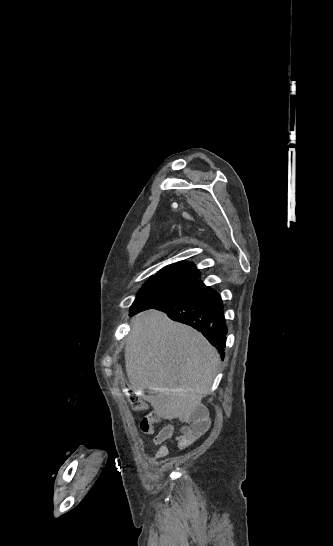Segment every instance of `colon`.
I'll list each match as a JSON object with an SVG mask.
<instances>
[{
    "label": "colon",
    "instance_id": "1",
    "mask_svg": "<svg viewBox=\"0 0 333 546\" xmlns=\"http://www.w3.org/2000/svg\"><path fill=\"white\" fill-rule=\"evenodd\" d=\"M130 402H131L132 407L135 410L143 411V410L147 409L146 402L137 395H134V394L130 395ZM154 422H155L154 414L149 413V414H147V415L140 418L139 425H140V428H141V430L143 432L152 433L153 432Z\"/></svg>",
    "mask_w": 333,
    "mask_h": 546
}]
</instances>
